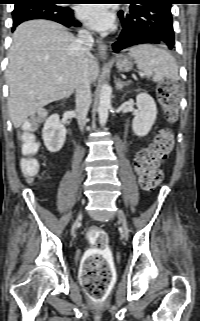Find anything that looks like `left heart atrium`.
<instances>
[{"label": "left heart atrium", "instance_id": "39dd6f15", "mask_svg": "<svg viewBox=\"0 0 200 321\" xmlns=\"http://www.w3.org/2000/svg\"><path fill=\"white\" fill-rule=\"evenodd\" d=\"M78 16L86 25L96 30H106L113 23L112 15L102 4L84 5L79 8Z\"/></svg>", "mask_w": 200, "mask_h": 321}]
</instances>
